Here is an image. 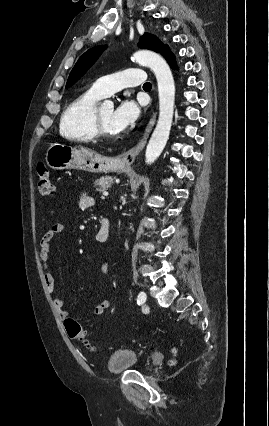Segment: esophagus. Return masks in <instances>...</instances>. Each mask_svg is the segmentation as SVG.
I'll return each instance as SVG.
<instances>
[{
    "mask_svg": "<svg viewBox=\"0 0 269 426\" xmlns=\"http://www.w3.org/2000/svg\"><path fill=\"white\" fill-rule=\"evenodd\" d=\"M155 121H156V112L153 113L152 118L150 119V122H149V124H148V126H147V128H146V130H145V132L143 134V137L139 141V143L135 147L129 149L128 151H126L124 153H121L118 156V160L122 164L131 165L134 162L136 156L144 148V146H145V144L147 142V139H148V137H149V135H150V133H151V131L153 129Z\"/></svg>",
    "mask_w": 269,
    "mask_h": 426,
    "instance_id": "esophagus-1",
    "label": "esophagus"
}]
</instances>
